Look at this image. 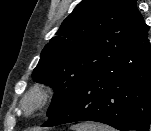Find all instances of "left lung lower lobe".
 <instances>
[{
    "label": "left lung lower lobe",
    "instance_id": "1",
    "mask_svg": "<svg viewBox=\"0 0 151 131\" xmlns=\"http://www.w3.org/2000/svg\"><path fill=\"white\" fill-rule=\"evenodd\" d=\"M140 14L132 53L117 67L88 75L44 124L96 121L120 131H149L151 46Z\"/></svg>",
    "mask_w": 151,
    "mask_h": 131
}]
</instances>
